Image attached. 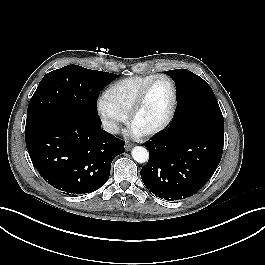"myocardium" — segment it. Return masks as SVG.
I'll list each match as a JSON object with an SVG mask.
<instances>
[{
    "instance_id": "1",
    "label": "myocardium",
    "mask_w": 265,
    "mask_h": 265,
    "mask_svg": "<svg viewBox=\"0 0 265 265\" xmlns=\"http://www.w3.org/2000/svg\"><path fill=\"white\" fill-rule=\"evenodd\" d=\"M159 79H165L167 80L172 88V102L169 108V111L166 115V117L164 118V120L157 125L156 127L141 132L140 134L144 137H154L159 135L160 133L164 132L168 126L171 124L173 117L175 115L176 112V108H177V103H178V91H177V86L175 81L168 75L166 74H158L155 75L140 91V93L138 94L130 112L128 115V120H129V124L131 127H133V123H134V119L137 116V114L140 112L141 108L143 107L147 95L149 93L150 88L152 87V85Z\"/></svg>"
}]
</instances>
